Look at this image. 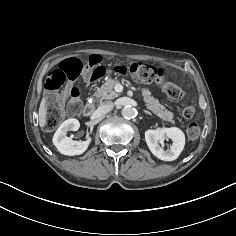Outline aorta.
Segmentation results:
<instances>
[{
	"mask_svg": "<svg viewBox=\"0 0 236 236\" xmlns=\"http://www.w3.org/2000/svg\"><path fill=\"white\" fill-rule=\"evenodd\" d=\"M121 113L125 118H133L135 115V109L131 106H125L123 107Z\"/></svg>",
	"mask_w": 236,
	"mask_h": 236,
	"instance_id": "obj_1",
	"label": "aorta"
}]
</instances>
